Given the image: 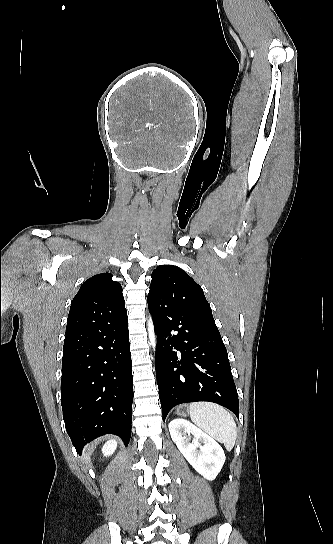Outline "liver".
<instances>
[{
  "instance_id": "6515ba94",
  "label": "liver",
  "mask_w": 333,
  "mask_h": 544,
  "mask_svg": "<svg viewBox=\"0 0 333 544\" xmlns=\"http://www.w3.org/2000/svg\"><path fill=\"white\" fill-rule=\"evenodd\" d=\"M95 447H96V446H92V447L89 449V451H88V453H87V455H86L87 457H90V455H91V453L93 452V449H94Z\"/></svg>"
}]
</instances>
